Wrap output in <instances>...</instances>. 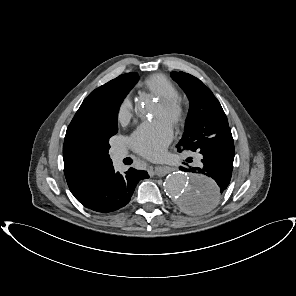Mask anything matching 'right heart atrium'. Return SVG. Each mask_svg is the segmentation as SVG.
Here are the masks:
<instances>
[{"label":"right heart atrium","instance_id":"obj_1","mask_svg":"<svg viewBox=\"0 0 296 296\" xmlns=\"http://www.w3.org/2000/svg\"><path fill=\"white\" fill-rule=\"evenodd\" d=\"M133 103L129 98H125L119 105L117 120L120 124H126L133 115Z\"/></svg>","mask_w":296,"mask_h":296}]
</instances>
